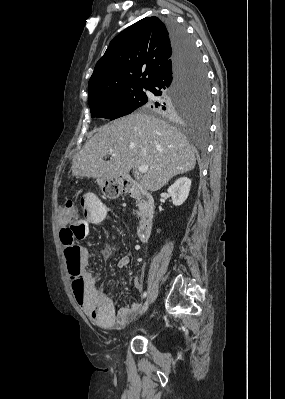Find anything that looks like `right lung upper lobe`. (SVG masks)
<instances>
[{"mask_svg":"<svg viewBox=\"0 0 285 399\" xmlns=\"http://www.w3.org/2000/svg\"><path fill=\"white\" fill-rule=\"evenodd\" d=\"M173 55L170 34L157 17H146L119 33L97 62L88 83V101L120 91L149 87Z\"/></svg>","mask_w":285,"mask_h":399,"instance_id":"1","label":"right lung upper lobe"}]
</instances>
